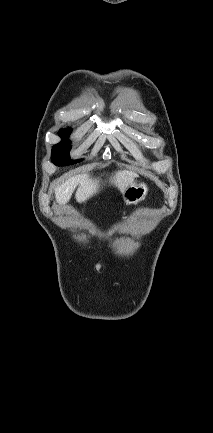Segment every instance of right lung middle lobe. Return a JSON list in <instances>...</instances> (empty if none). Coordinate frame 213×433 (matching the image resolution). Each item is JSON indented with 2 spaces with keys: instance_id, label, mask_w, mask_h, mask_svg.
<instances>
[{
  "instance_id": "dd1d6c3e",
  "label": "right lung middle lobe",
  "mask_w": 213,
  "mask_h": 433,
  "mask_svg": "<svg viewBox=\"0 0 213 433\" xmlns=\"http://www.w3.org/2000/svg\"><path fill=\"white\" fill-rule=\"evenodd\" d=\"M72 129H61L59 131V136L63 139L62 142L56 144L52 148L51 152V160L55 165L64 166L73 164L78 161H71L69 156V151L71 149V145L67 137L70 135V131Z\"/></svg>"
}]
</instances>
